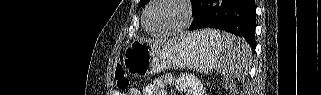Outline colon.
<instances>
[{"label": "colon", "mask_w": 321, "mask_h": 95, "mask_svg": "<svg viewBox=\"0 0 321 95\" xmlns=\"http://www.w3.org/2000/svg\"><path fill=\"white\" fill-rule=\"evenodd\" d=\"M115 80L117 86L121 90H125L129 86V78L126 70L122 66H116L115 68Z\"/></svg>", "instance_id": "5ec220e1"}]
</instances>
